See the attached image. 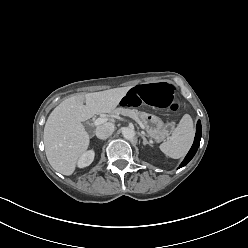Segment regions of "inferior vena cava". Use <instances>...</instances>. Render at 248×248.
Returning <instances> with one entry per match:
<instances>
[{"label": "inferior vena cava", "instance_id": "602c4592", "mask_svg": "<svg viewBox=\"0 0 248 248\" xmlns=\"http://www.w3.org/2000/svg\"><path fill=\"white\" fill-rule=\"evenodd\" d=\"M114 132V125L112 123H105L96 128V136L99 139H107Z\"/></svg>", "mask_w": 248, "mask_h": 248}]
</instances>
